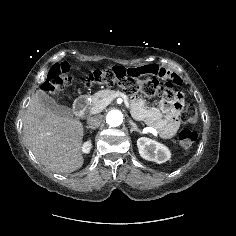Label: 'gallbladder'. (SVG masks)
Here are the masks:
<instances>
[{"mask_svg":"<svg viewBox=\"0 0 236 236\" xmlns=\"http://www.w3.org/2000/svg\"><path fill=\"white\" fill-rule=\"evenodd\" d=\"M37 96L40 101L50 110L56 112L62 117L71 118L72 111L69 107L64 105H59L52 97H50L46 92L42 90L37 91Z\"/></svg>","mask_w":236,"mask_h":236,"instance_id":"bac80fb5","label":"gallbladder"}]
</instances>
